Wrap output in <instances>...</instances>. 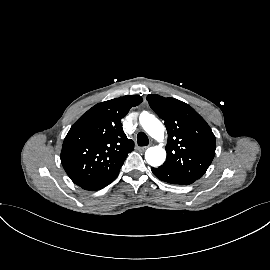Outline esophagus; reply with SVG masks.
I'll return each instance as SVG.
<instances>
[{
  "instance_id": "esophagus-1",
  "label": "esophagus",
  "mask_w": 270,
  "mask_h": 270,
  "mask_svg": "<svg viewBox=\"0 0 270 270\" xmlns=\"http://www.w3.org/2000/svg\"><path fill=\"white\" fill-rule=\"evenodd\" d=\"M147 148H148V146L140 147L139 151L144 152Z\"/></svg>"
}]
</instances>
